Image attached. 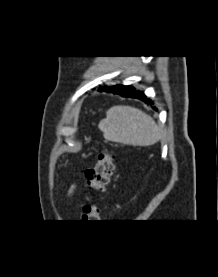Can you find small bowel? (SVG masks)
<instances>
[{
  "label": "small bowel",
  "instance_id": "1",
  "mask_svg": "<svg viewBox=\"0 0 218 277\" xmlns=\"http://www.w3.org/2000/svg\"><path fill=\"white\" fill-rule=\"evenodd\" d=\"M77 189H78V185L77 184H73L70 187L69 192H68L69 197H73L75 195Z\"/></svg>",
  "mask_w": 218,
  "mask_h": 277
}]
</instances>
